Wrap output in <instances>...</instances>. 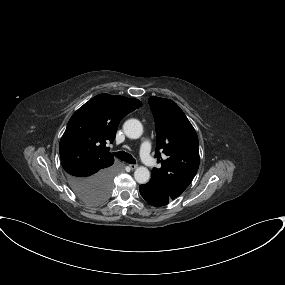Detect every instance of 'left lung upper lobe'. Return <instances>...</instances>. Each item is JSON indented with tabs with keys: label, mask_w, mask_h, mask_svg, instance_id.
<instances>
[{
	"label": "left lung upper lobe",
	"mask_w": 285,
	"mask_h": 285,
	"mask_svg": "<svg viewBox=\"0 0 285 285\" xmlns=\"http://www.w3.org/2000/svg\"><path fill=\"white\" fill-rule=\"evenodd\" d=\"M148 101L155 119V156L161 163L160 168L152 170L151 178L162 182L174 197H178L198 170V137L174 101L159 97H150ZM161 153L165 155L163 158Z\"/></svg>",
	"instance_id": "obj_1"
}]
</instances>
